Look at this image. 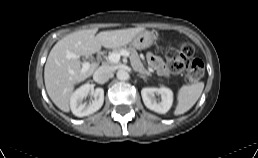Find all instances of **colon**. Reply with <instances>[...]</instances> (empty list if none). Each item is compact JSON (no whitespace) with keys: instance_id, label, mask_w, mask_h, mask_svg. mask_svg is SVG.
<instances>
[{"instance_id":"obj_1","label":"colon","mask_w":258,"mask_h":158,"mask_svg":"<svg viewBox=\"0 0 258 158\" xmlns=\"http://www.w3.org/2000/svg\"><path fill=\"white\" fill-rule=\"evenodd\" d=\"M194 48L188 43H181L171 49L167 54V61L170 71L173 73L185 72V79L195 83L199 81L204 72L203 62L193 59Z\"/></svg>"}]
</instances>
